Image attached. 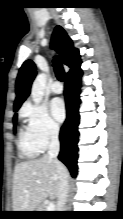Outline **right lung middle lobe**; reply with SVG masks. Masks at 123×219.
I'll return each instance as SVG.
<instances>
[{"instance_id": "1", "label": "right lung middle lobe", "mask_w": 123, "mask_h": 219, "mask_svg": "<svg viewBox=\"0 0 123 219\" xmlns=\"http://www.w3.org/2000/svg\"><path fill=\"white\" fill-rule=\"evenodd\" d=\"M16 119H17V114L14 115V118H13L14 122H16Z\"/></svg>"}]
</instances>
